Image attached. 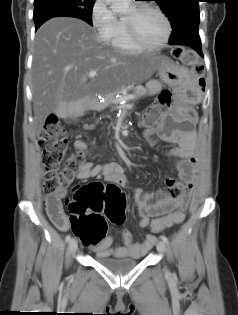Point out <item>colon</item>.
Returning a JSON list of instances; mask_svg holds the SVG:
<instances>
[{
	"label": "colon",
	"instance_id": "obj_1",
	"mask_svg": "<svg viewBox=\"0 0 238 315\" xmlns=\"http://www.w3.org/2000/svg\"><path fill=\"white\" fill-rule=\"evenodd\" d=\"M173 56L189 66L195 74L200 87H205L204 66L198 55L191 49L177 47ZM173 94L162 92L155 103L143 115L141 123L145 127L155 125L166 114ZM40 144L44 147L42 163L44 169L43 189L47 195L65 189L74 179L85 161V151L76 150L65 158L68 148L66 130L55 115H49L43 125ZM71 213L72 231L86 246L98 244L106 234L107 220L121 225L125 221L126 196L122 189L114 184L91 182L76 186L72 198L68 201ZM183 214L173 212L151 222L153 232H161L182 221Z\"/></svg>",
	"mask_w": 238,
	"mask_h": 315
}]
</instances>
